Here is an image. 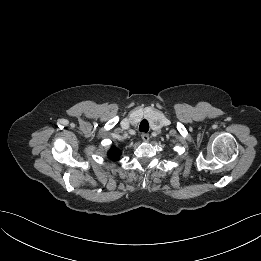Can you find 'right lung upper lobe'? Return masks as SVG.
Masks as SVG:
<instances>
[{
  "mask_svg": "<svg viewBox=\"0 0 261 261\" xmlns=\"http://www.w3.org/2000/svg\"><path fill=\"white\" fill-rule=\"evenodd\" d=\"M108 157L111 160H118L120 158V150L116 147H112L108 152Z\"/></svg>",
  "mask_w": 261,
  "mask_h": 261,
  "instance_id": "1",
  "label": "right lung upper lobe"
}]
</instances>
